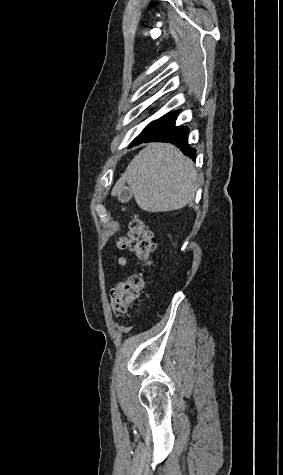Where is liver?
<instances>
[{"label":"liver","instance_id":"obj_1","mask_svg":"<svg viewBox=\"0 0 283 475\" xmlns=\"http://www.w3.org/2000/svg\"><path fill=\"white\" fill-rule=\"evenodd\" d=\"M197 172L192 160L172 144H147L131 160L111 196L128 184L137 206L145 212L181 210L195 198Z\"/></svg>","mask_w":283,"mask_h":475}]
</instances>
